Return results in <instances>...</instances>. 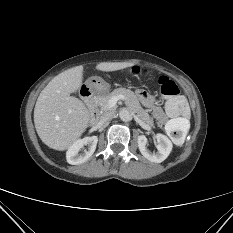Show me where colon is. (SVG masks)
<instances>
[{
	"label": "colon",
	"mask_w": 233,
	"mask_h": 233,
	"mask_svg": "<svg viewBox=\"0 0 233 233\" xmlns=\"http://www.w3.org/2000/svg\"><path fill=\"white\" fill-rule=\"evenodd\" d=\"M131 73L137 76L142 74V71L133 67ZM158 84L161 94L166 98V112L170 117L167 124L168 135L174 142L180 144L185 140L188 129V103L178 86L168 77H159Z\"/></svg>",
	"instance_id": "obj_1"
}]
</instances>
